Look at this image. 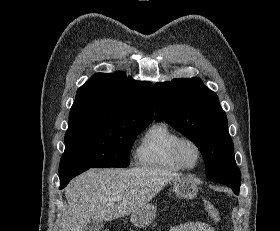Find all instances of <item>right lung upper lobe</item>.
<instances>
[{"label": "right lung upper lobe", "instance_id": "right-lung-upper-lobe-1", "mask_svg": "<svg viewBox=\"0 0 280 231\" xmlns=\"http://www.w3.org/2000/svg\"><path fill=\"white\" fill-rule=\"evenodd\" d=\"M73 118H112L151 123L152 84L125 73L94 74L77 93L70 110Z\"/></svg>", "mask_w": 280, "mask_h": 231}]
</instances>
